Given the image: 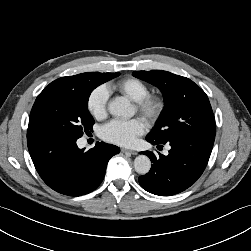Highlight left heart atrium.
Segmentation results:
<instances>
[{"label":"left heart atrium","mask_w":251,"mask_h":251,"mask_svg":"<svg viewBox=\"0 0 251 251\" xmlns=\"http://www.w3.org/2000/svg\"><path fill=\"white\" fill-rule=\"evenodd\" d=\"M145 130L146 124L141 119H115L102 127L101 137L110 143L121 146H131L135 143L137 137L143 134Z\"/></svg>","instance_id":"obj_1"}]
</instances>
